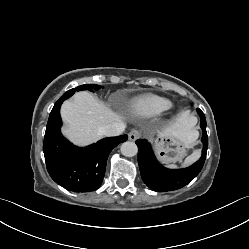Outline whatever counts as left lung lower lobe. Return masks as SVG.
<instances>
[{
    "label": "left lung lower lobe",
    "instance_id": "obj_1",
    "mask_svg": "<svg viewBox=\"0 0 249 249\" xmlns=\"http://www.w3.org/2000/svg\"><path fill=\"white\" fill-rule=\"evenodd\" d=\"M201 118V128L203 130L202 136V156L192 166L170 170L161 166L156 160L150 144L146 140L138 139L136 144L138 146V164L140 168L141 177L144 183L154 191L166 192L176 190L184 187L190 183L201 171L208 148V136L206 132V119L203 112L197 109Z\"/></svg>",
    "mask_w": 249,
    "mask_h": 249
}]
</instances>
